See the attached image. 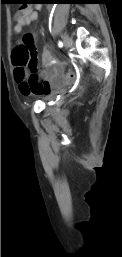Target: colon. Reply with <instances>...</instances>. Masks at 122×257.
<instances>
[{"label": "colon", "instance_id": "1", "mask_svg": "<svg viewBox=\"0 0 122 257\" xmlns=\"http://www.w3.org/2000/svg\"><path fill=\"white\" fill-rule=\"evenodd\" d=\"M12 59L17 67L24 68L27 66L32 75L36 74V52L34 49V39L31 34L24 35L22 43L14 48ZM65 73V78L67 80H64V85H74V83H78V74L77 72H74V68H65Z\"/></svg>", "mask_w": 122, "mask_h": 257}]
</instances>
